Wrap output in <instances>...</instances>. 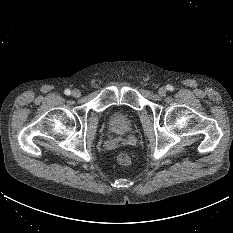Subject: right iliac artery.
I'll return each instance as SVG.
<instances>
[{"instance_id":"right-iliac-artery-1","label":"right iliac artery","mask_w":233,"mask_h":233,"mask_svg":"<svg viewBox=\"0 0 233 233\" xmlns=\"http://www.w3.org/2000/svg\"><path fill=\"white\" fill-rule=\"evenodd\" d=\"M64 93H65L66 95H70V94H71V91H70L69 89H66V90L64 91Z\"/></svg>"}]
</instances>
